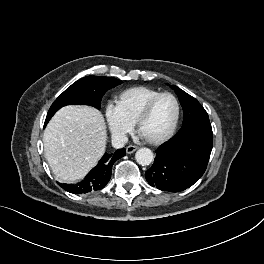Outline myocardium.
Instances as JSON below:
<instances>
[{"label":"myocardium","mask_w":264,"mask_h":264,"mask_svg":"<svg viewBox=\"0 0 264 264\" xmlns=\"http://www.w3.org/2000/svg\"><path fill=\"white\" fill-rule=\"evenodd\" d=\"M163 96H170L174 100L175 105H176L175 118L169 130L163 135L156 137V138L144 137V139L150 144L157 145V144H161L169 140L174 135L177 129L178 123H179L181 108H180V103H179L178 98L171 92H160L156 94L155 96H153L152 98H150L147 101V103L144 105V107L142 108L141 112L139 113L135 121L137 131L140 133L141 126L144 123V121L148 118V116L150 115L155 103L157 102L158 99H160Z\"/></svg>","instance_id":"myocardium-1"}]
</instances>
